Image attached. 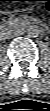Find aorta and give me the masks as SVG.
Listing matches in <instances>:
<instances>
[{"instance_id":"762f6f07","label":"aorta","mask_w":50,"mask_h":111,"mask_svg":"<svg viewBox=\"0 0 50 111\" xmlns=\"http://www.w3.org/2000/svg\"><path fill=\"white\" fill-rule=\"evenodd\" d=\"M27 34L29 37H37L40 34V28L36 25H31L27 29Z\"/></svg>"}]
</instances>
